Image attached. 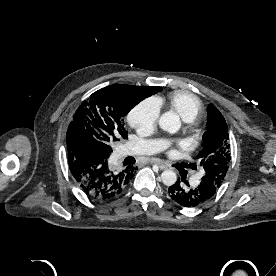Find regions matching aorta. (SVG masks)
I'll return each instance as SVG.
<instances>
[{
    "label": "aorta",
    "instance_id": "obj_1",
    "mask_svg": "<svg viewBox=\"0 0 276 276\" xmlns=\"http://www.w3.org/2000/svg\"><path fill=\"white\" fill-rule=\"evenodd\" d=\"M159 126L162 130L171 134L176 133L181 127V121L177 113L168 111L163 113L159 118ZM161 180L164 185L172 186L177 181V175L172 170H165L161 173Z\"/></svg>",
    "mask_w": 276,
    "mask_h": 276
}]
</instances>
